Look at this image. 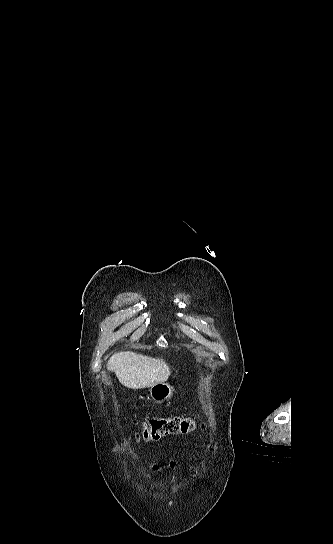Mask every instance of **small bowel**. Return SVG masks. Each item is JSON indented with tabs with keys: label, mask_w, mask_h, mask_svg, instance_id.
Wrapping results in <instances>:
<instances>
[{
	"label": "small bowel",
	"mask_w": 333,
	"mask_h": 544,
	"mask_svg": "<svg viewBox=\"0 0 333 544\" xmlns=\"http://www.w3.org/2000/svg\"><path fill=\"white\" fill-rule=\"evenodd\" d=\"M178 464H179V463H178L177 461H171V462L167 465V467H169V468H175V467L178 466ZM150 468H151V470L154 471V472H160V471H162V469H163L162 466H160L159 464L154 463V462L150 464ZM145 478L149 481V480H150V475H149L148 473H145Z\"/></svg>",
	"instance_id": "small-bowel-1"
}]
</instances>
